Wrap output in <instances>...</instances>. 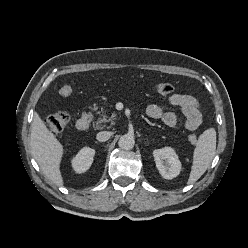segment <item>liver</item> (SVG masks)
<instances>
[{
	"mask_svg": "<svg viewBox=\"0 0 248 248\" xmlns=\"http://www.w3.org/2000/svg\"><path fill=\"white\" fill-rule=\"evenodd\" d=\"M30 145L32 155L45 177L53 184L62 186L60 162L64 153L63 146L37 113L31 125Z\"/></svg>",
	"mask_w": 248,
	"mask_h": 248,
	"instance_id": "1",
	"label": "liver"
}]
</instances>
